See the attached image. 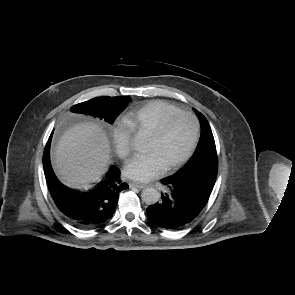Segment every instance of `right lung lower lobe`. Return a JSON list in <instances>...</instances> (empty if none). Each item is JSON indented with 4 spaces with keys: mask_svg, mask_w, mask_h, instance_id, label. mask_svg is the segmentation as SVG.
Listing matches in <instances>:
<instances>
[{
    "mask_svg": "<svg viewBox=\"0 0 295 295\" xmlns=\"http://www.w3.org/2000/svg\"><path fill=\"white\" fill-rule=\"evenodd\" d=\"M51 138L52 134L45 147L43 161L49 155ZM44 173L59 210L70 223L83 229L98 227L110 219L115 211L119 192L128 188L120 178V170L115 166H111L103 180L86 192L72 190L63 185L50 165L44 166Z\"/></svg>",
    "mask_w": 295,
    "mask_h": 295,
    "instance_id": "obj_1",
    "label": "right lung lower lobe"
}]
</instances>
